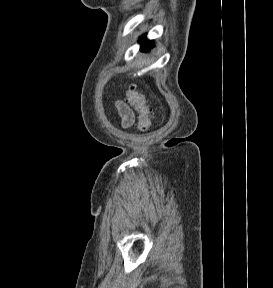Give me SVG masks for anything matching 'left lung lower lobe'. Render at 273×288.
Instances as JSON below:
<instances>
[{
  "label": "left lung lower lobe",
  "instance_id": "left-lung-lower-lobe-1",
  "mask_svg": "<svg viewBox=\"0 0 273 288\" xmlns=\"http://www.w3.org/2000/svg\"><path fill=\"white\" fill-rule=\"evenodd\" d=\"M141 40V51L147 52L151 47H152V42L151 41H146L145 36H142L140 38Z\"/></svg>",
  "mask_w": 273,
  "mask_h": 288
}]
</instances>
